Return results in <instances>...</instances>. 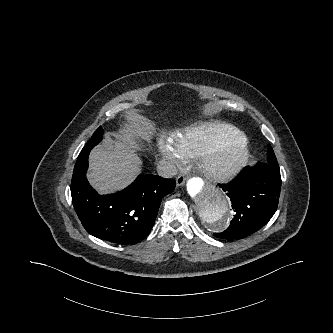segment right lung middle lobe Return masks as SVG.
I'll return each mask as SVG.
<instances>
[{"label": "right lung middle lobe", "instance_id": "obj_1", "mask_svg": "<svg viewBox=\"0 0 333 333\" xmlns=\"http://www.w3.org/2000/svg\"><path fill=\"white\" fill-rule=\"evenodd\" d=\"M103 129L100 126L93 134L91 139L87 142L86 146H95L102 140Z\"/></svg>", "mask_w": 333, "mask_h": 333}]
</instances>
